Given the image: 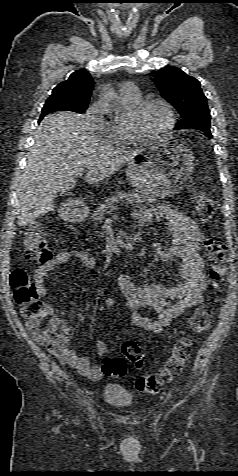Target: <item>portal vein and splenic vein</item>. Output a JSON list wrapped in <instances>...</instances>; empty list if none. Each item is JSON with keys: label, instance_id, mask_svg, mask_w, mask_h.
<instances>
[{"label": "portal vein and splenic vein", "instance_id": "1", "mask_svg": "<svg viewBox=\"0 0 238 476\" xmlns=\"http://www.w3.org/2000/svg\"><path fill=\"white\" fill-rule=\"evenodd\" d=\"M76 175H77V176H82V175H83V172H82V171H80V172H78ZM107 221H111V219H110V218H108V219H107Z\"/></svg>", "mask_w": 238, "mask_h": 476}]
</instances>
